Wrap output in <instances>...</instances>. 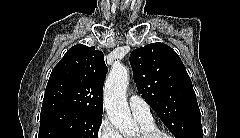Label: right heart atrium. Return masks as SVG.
I'll use <instances>...</instances> for the list:
<instances>
[{
    "label": "right heart atrium",
    "instance_id": "d8ad5b80",
    "mask_svg": "<svg viewBox=\"0 0 240 138\" xmlns=\"http://www.w3.org/2000/svg\"><path fill=\"white\" fill-rule=\"evenodd\" d=\"M97 138H123L107 117H104L97 129Z\"/></svg>",
    "mask_w": 240,
    "mask_h": 138
}]
</instances>
